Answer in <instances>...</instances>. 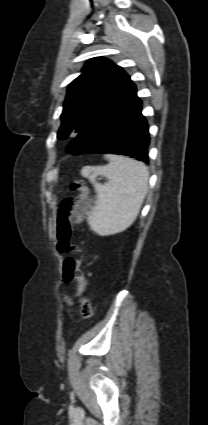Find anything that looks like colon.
<instances>
[{
    "label": "colon",
    "mask_w": 208,
    "mask_h": 425,
    "mask_svg": "<svg viewBox=\"0 0 208 425\" xmlns=\"http://www.w3.org/2000/svg\"><path fill=\"white\" fill-rule=\"evenodd\" d=\"M71 189L77 195L61 202L57 216V248L63 253L77 254L76 258H67L63 261L62 277L67 282L76 283L75 298L79 304L80 315L84 319H89L93 314V308L87 295L88 281L82 269L85 256L82 249L71 241L74 228L82 220L88 189L82 179L74 180ZM66 300L70 304L73 302L69 296H66Z\"/></svg>",
    "instance_id": "5ec220e1"
}]
</instances>
